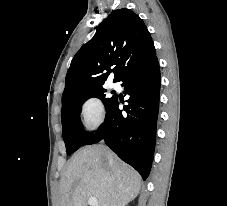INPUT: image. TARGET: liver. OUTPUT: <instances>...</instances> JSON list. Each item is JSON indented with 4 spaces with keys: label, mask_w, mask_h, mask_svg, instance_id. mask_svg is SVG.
Listing matches in <instances>:
<instances>
[{
    "label": "liver",
    "mask_w": 227,
    "mask_h": 206,
    "mask_svg": "<svg viewBox=\"0 0 227 206\" xmlns=\"http://www.w3.org/2000/svg\"><path fill=\"white\" fill-rule=\"evenodd\" d=\"M141 177L103 145L73 155L59 189V206H86L90 197L99 206H126L140 192Z\"/></svg>",
    "instance_id": "liver-1"
}]
</instances>
